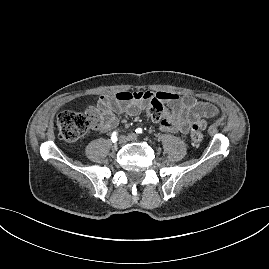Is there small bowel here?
Returning <instances> with one entry per match:
<instances>
[{
  "instance_id": "1",
  "label": "small bowel",
  "mask_w": 269,
  "mask_h": 269,
  "mask_svg": "<svg viewBox=\"0 0 269 269\" xmlns=\"http://www.w3.org/2000/svg\"><path fill=\"white\" fill-rule=\"evenodd\" d=\"M167 103L171 111L166 117L152 119L159 124L162 131L187 134L194 124L203 129L208 126V119L218 114L213 104L194 98L181 97L174 93L147 91H123L99 97L96 106L87 113L94 119L96 127L101 131H109L118 126V113L136 115L145 109L153 98Z\"/></svg>"
}]
</instances>
